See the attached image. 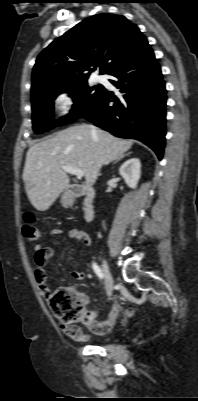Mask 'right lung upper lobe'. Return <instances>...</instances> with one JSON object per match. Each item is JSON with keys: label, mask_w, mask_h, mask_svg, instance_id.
Listing matches in <instances>:
<instances>
[{"label": "right lung upper lobe", "mask_w": 198, "mask_h": 401, "mask_svg": "<svg viewBox=\"0 0 198 401\" xmlns=\"http://www.w3.org/2000/svg\"><path fill=\"white\" fill-rule=\"evenodd\" d=\"M147 39L122 15L101 13L86 18L54 40L37 57L31 95L87 81L97 67L110 74L137 55Z\"/></svg>", "instance_id": "1"}]
</instances>
